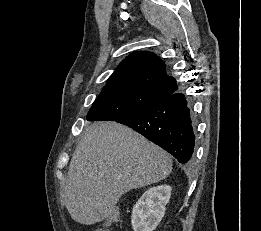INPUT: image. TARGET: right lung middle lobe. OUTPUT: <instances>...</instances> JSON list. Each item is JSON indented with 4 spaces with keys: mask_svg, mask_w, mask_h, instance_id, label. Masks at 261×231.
Masks as SVG:
<instances>
[{
    "mask_svg": "<svg viewBox=\"0 0 261 231\" xmlns=\"http://www.w3.org/2000/svg\"><path fill=\"white\" fill-rule=\"evenodd\" d=\"M160 99L143 89L126 87L104 90L87 114L89 121H117L153 105Z\"/></svg>",
    "mask_w": 261,
    "mask_h": 231,
    "instance_id": "right-lung-middle-lobe-1",
    "label": "right lung middle lobe"
}]
</instances>
